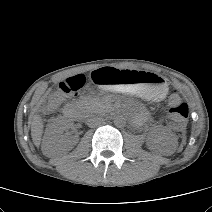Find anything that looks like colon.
Masks as SVG:
<instances>
[{
	"instance_id": "colon-1",
	"label": "colon",
	"mask_w": 212,
	"mask_h": 212,
	"mask_svg": "<svg viewBox=\"0 0 212 212\" xmlns=\"http://www.w3.org/2000/svg\"><path fill=\"white\" fill-rule=\"evenodd\" d=\"M86 84L83 74L75 75L59 83L57 90L52 95L49 106L56 107L68 96L79 94ZM168 107L171 118L179 125H183L189 115V106L178 91H174L168 99Z\"/></svg>"
}]
</instances>
